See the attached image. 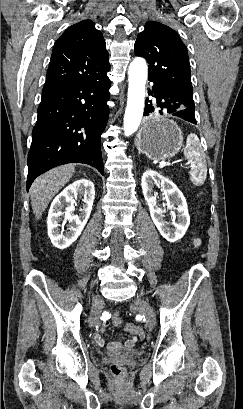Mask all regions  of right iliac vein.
<instances>
[{
  "mask_svg": "<svg viewBox=\"0 0 243 409\" xmlns=\"http://www.w3.org/2000/svg\"><path fill=\"white\" fill-rule=\"evenodd\" d=\"M98 319H99V310L97 306L95 305L91 312L90 318H89L90 326L91 327L95 326V324L98 322Z\"/></svg>",
  "mask_w": 243,
  "mask_h": 409,
  "instance_id": "right-iliac-vein-1",
  "label": "right iliac vein"
}]
</instances>
